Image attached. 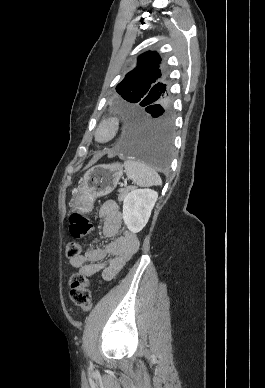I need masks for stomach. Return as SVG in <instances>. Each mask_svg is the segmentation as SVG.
<instances>
[{
  "label": "stomach",
  "mask_w": 265,
  "mask_h": 388,
  "mask_svg": "<svg viewBox=\"0 0 265 388\" xmlns=\"http://www.w3.org/2000/svg\"><path fill=\"white\" fill-rule=\"evenodd\" d=\"M123 175L119 163L97 165L89 169L78 188L72 191L71 207L83 213L91 211L98 197L111 193Z\"/></svg>",
  "instance_id": "stomach-1"
}]
</instances>
